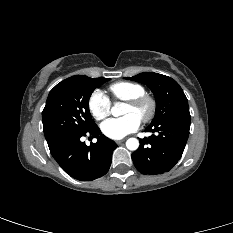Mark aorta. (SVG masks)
<instances>
[{
	"label": "aorta",
	"mask_w": 233,
	"mask_h": 233,
	"mask_svg": "<svg viewBox=\"0 0 233 233\" xmlns=\"http://www.w3.org/2000/svg\"><path fill=\"white\" fill-rule=\"evenodd\" d=\"M121 103H116L112 109H111V113L113 116L117 117V116H120L122 114L121 112ZM126 147L127 149L131 150V151H134V150H137L138 147H139V141L138 139L136 138H129L127 141H126Z\"/></svg>",
	"instance_id": "aorta-1"
}]
</instances>
